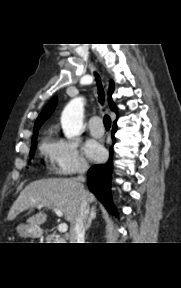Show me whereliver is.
I'll return each instance as SVG.
<instances>
[{
	"instance_id": "1",
	"label": "liver",
	"mask_w": 181,
	"mask_h": 288,
	"mask_svg": "<svg viewBox=\"0 0 181 288\" xmlns=\"http://www.w3.org/2000/svg\"><path fill=\"white\" fill-rule=\"evenodd\" d=\"M82 191H84L88 203L95 201V196L88 190H83L80 184L70 178H51L31 182L20 193L13 203L7 219L13 220L24 210L38 207L51 209L56 207L60 209L66 221L72 225L78 216ZM40 209V208H39ZM47 220V214L39 211L27 219L30 227L40 229V225Z\"/></svg>"
}]
</instances>
